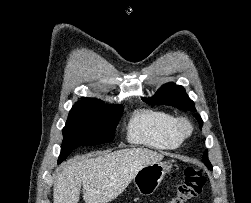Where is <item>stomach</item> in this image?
<instances>
[{
    "instance_id": "stomach-1",
    "label": "stomach",
    "mask_w": 251,
    "mask_h": 203,
    "mask_svg": "<svg viewBox=\"0 0 251 203\" xmlns=\"http://www.w3.org/2000/svg\"><path fill=\"white\" fill-rule=\"evenodd\" d=\"M171 168L172 164L168 161L152 163L140 169L133 179L138 192L142 195L153 194Z\"/></svg>"
}]
</instances>
